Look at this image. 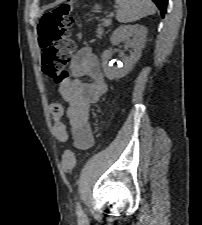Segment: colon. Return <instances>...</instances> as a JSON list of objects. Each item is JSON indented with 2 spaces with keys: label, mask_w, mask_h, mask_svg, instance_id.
I'll return each instance as SVG.
<instances>
[{
  "label": "colon",
  "mask_w": 202,
  "mask_h": 225,
  "mask_svg": "<svg viewBox=\"0 0 202 225\" xmlns=\"http://www.w3.org/2000/svg\"><path fill=\"white\" fill-rule=\"evenodd\" d=\"M70 11V5H61L44 13L39 19L37 31L42 51V71L55 85H59L66 77V67L74 50V42L70 38V27L73 23ZM52 113L56 116L63 115L61 102L52 104ZM74 167V153L67 149L62 155L61 169L68 173Z\"/></svg>",
  "instance_id": "5ec220e1"
}]
</instances>
